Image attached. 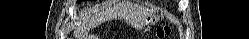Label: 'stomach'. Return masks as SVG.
Instances as JSON below:
<instances>
[{
    "mask_svg": "<svg viewBox=\"0 0 249 39\" xmlns=\"http://www.w3.org/2000/svg\"><path fill=\"white\" fill-rule=\"evenodd\" d=\"M156 22H158V18L157 17H153V16H148L145 20H144V25L145 26H149L152 24H155Z\"/></svg>",
    "mask_w": 249,
    "mask_h": 39,
    "instance_id": "1",
    "label": "stomach"
}]
</instances>
